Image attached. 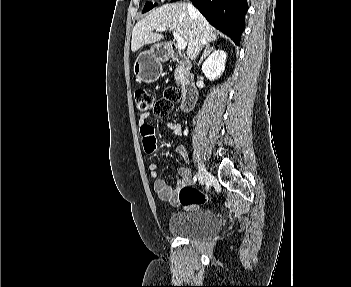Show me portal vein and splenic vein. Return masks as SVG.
I'll list each match as a JSON object with an SVG mask.
<instances>
[{
	"instance_id": "portal-vein-and-splenic-vein-1",
	"label": "portal vein and splenic vein",
	"mask_w": 351,
	"mask_h": 287,
	"mask_svg": "<svg viewBox=\"0 0 351 287\" xmlns=\"http://www.w3.org/2000/svg\"><path fill=\"white\" fill-rule=\"evenodd\" d=\"M167 28L166 27H159L156 29L158 32H163ZM174 39L177 41V46L179 50H184L187 46L186 41L180 36V34L177 31L173 32Z\"/></svg>"
}]
</instances>
